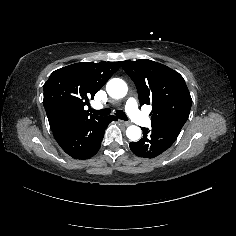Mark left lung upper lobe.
Masks as SVG:
<instances>
[{"instance_id":"5c2ea615","label":"left lung upper lobe","mask_w":236,"mask_h":236,"mask_svg":"<svg viewBox=\"0 0 236 236\" xmlns=\"http://www.w3.org/2000/svg\"><path fill=\"white\" fill-rule=\"evenodd\" d=\"M121 65L137 87L140 104L152 105V126L181 131L192 105L183 77L171 68L147 59L122 61Z\"/></svg>"}]
</instances>
